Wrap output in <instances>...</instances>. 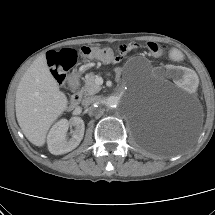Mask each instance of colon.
I'll use <instances>...</instances> for the list:
<instances>
[{
    "label": "colon",
    "mask_w": 215,
    "mask_h": 215,
    "mask_svg": "<svg viewBox=\"0 0 215 215\" xmlns=\"http://www.w3.org/2000/svg\"><path fill=\"white\" fill-rule=\"evenodd\" d=\"M138 48L136 43H130L120 46V54H126ZM147 48L149 52L155 56H161L164 49L154 43H148ZM81 55L85 57L97 58L103 61H113L116 58L115 52L111 48H101L95 46H83L80 49ZM77 52L73 49H63L61 51H50L47 54V63L50 70L59 84L64 82L66 72L76 63Z\"/></svg>",
    "instance_id": "1"
}]
</instances>
